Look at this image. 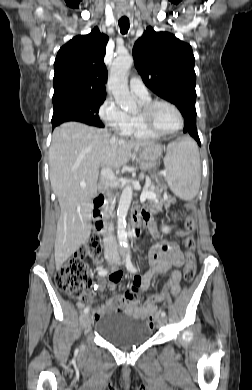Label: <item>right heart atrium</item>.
<instances>
[{"mask_svg": "<svg viewBox=\"0 0 252 390\" xmlns=\"http://www.w3.org/2000/svg\"><path fill=\"white\" fill-rule=\"evenodd\" d=\"M99 116L105 124L120 136H127L130 129L129 115L112 98H107L99 108Z\"/></svg>", "mask_w": 252, "mask_h": 390, "instance_id": "right-heart-atrium-1", "label": "right heart atrium"}]
</instances>
